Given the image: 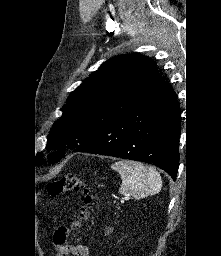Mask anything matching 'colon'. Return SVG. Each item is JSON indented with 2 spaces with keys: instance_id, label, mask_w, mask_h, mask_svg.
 I'll list each match as a JSON object with an SVG mask.
<instances>
[{
  "instance_id": "obj_1",
  "label": "colon",
  "mask_w": 221,
  "mask_h": 256,
  "mask_svg": "<svg viewBox=\"0 0 221 256\" xmlns=\"http://www.w3.org/2000/svg\"><path fill=\"white\" fill-rule=\"evenodd\" d=\"M48 192L52 196H58L69 192H81L83 194L84 206L79 214V219L85 220L88 217L90 208L93 205L94 195L82 177L71 175L63 176L49 183ZM78 226L79 223H75L73 227L77 228ZM68 233L69 229L60 228L54 235L53 241L58 256H67L66 239Z\"/></svg>"
}]
</instances>
